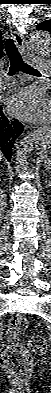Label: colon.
I'll return each mask as SVG.
<instances>
[{"mask_svg": "<svg viewBox=\"0 0 51 393\" xmlns=\"http://www.w3.org/2000/svg\"><path fill=\"white\" fill-rule=\"evenodd\" d=\"M28 328V320L21 315L13 316L9 323L10 336L16 338ZM29 349L35 355H42L47 350V342L42 336H33L29 340ZM1 363L15 379H23L33 366L30 352L20 345L9 344L1 351Z\"/></svg>", "mask_w": 51, "mask_h": 393, "instance_id": "colon-1", "label": "colon"}]
</instances>
